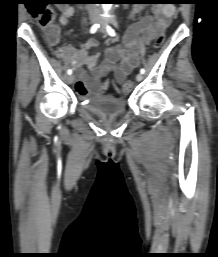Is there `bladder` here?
<instances>
[{"label":"bladder","instance_id":"obj_1","mask_svg":"<svg viewBox=\"0 0 218 257\" xmlns=\"http://www.w3.org/2000/svg\"><path fill=\"white\" fill-rule=\"evenodd\" d=\"M87 108L101 116L111 117L125 111L126 101L110 95L97 96L88 102Z\"/></svg>","mask_w":218,"mask_h":257}]
</instances>
